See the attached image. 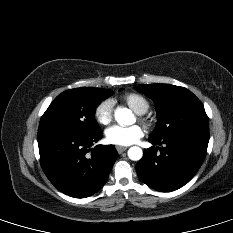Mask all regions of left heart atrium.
Wrapping results in <instances>:
<instances>
[{"label": "left heart atrium", "instance_id": "39dd6f15", "mask_svg": "<svg viewBox=\"0 0 233 233\" xmlns=\"http://www.w3.org/2000/svg\"><path fill=\"white\" fill-rule=\"evenodd\" d=\"M144 135L143 129L138 125H114L106 130V139L114 145L129 146L139 141Z\"/></svg>", "mask_w": 233, "mask_h": 233}]
</instances>
